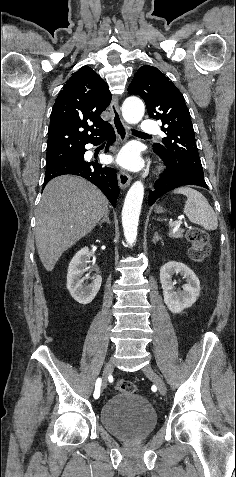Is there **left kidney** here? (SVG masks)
<instances>
[{"mask_svg": "<svg viewBox=\"0 0 236 477\" xmlns=\"http://www.w3.org/2000/svg\"><path fill=\"white\" fill-rule=\"evenodd\" d=\"M180 274L186 279L187 284L182 291H175L172 280L174 274ZM160 281L163 289L164 302L172 313H181L191 307L200 294V281L195 273L185 264L170 261L160 269Z\"/></svg>", "mask_w": 236, "mask_h": 477, "instance_id": "left-kidney-1", "label": "left kidney"}]
</instances>
